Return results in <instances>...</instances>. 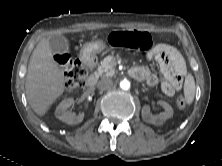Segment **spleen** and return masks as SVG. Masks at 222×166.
<instances>
[{
	"label": "spleen",
	"instance_id": "spleen-1",
	"mask_svg": "<svg viewBox=\"0 0 222 166\" xmlns=\"http://www.w3.org/2000/svg\"><path fill=\"white\" fill-rule=\"evenodd\" d=\"M195 96V80L191 74H188L184 82V97L188 105L192 104Z\"/></svg>",
	"mask_w": 222,
	"mask_h": 166
}]
</instances>
